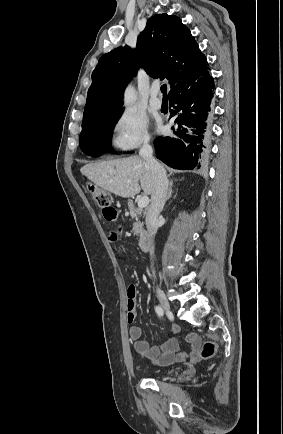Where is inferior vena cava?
I'll list each match as a JSON object with an SVG mask.
<instances>
[{"instance_id": "obj_1", "label": "inferior vena cava", "mask_w": 283, "mask_h": 434, "mask_svg": "<svg viewBox=\"0 0 283 434\" xmlns=\"http://www.w3.org/2000/svg\"><path fill=\"white\" fill-rule=\"evenodd\" d=\"M140 157L144 159L150 168L154 188L151 194V204L146 214V226L151 237H154L158 230V215L162 211L168 192V179L166 171L160 163L153 157V149L148 142L144 143L139 151ZM150 255L154 253V245L150 247ZM155 277V272L153 271Z\"/></svg>"}]
</instances>
